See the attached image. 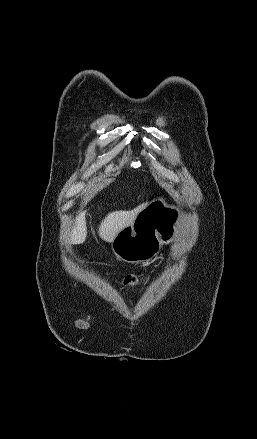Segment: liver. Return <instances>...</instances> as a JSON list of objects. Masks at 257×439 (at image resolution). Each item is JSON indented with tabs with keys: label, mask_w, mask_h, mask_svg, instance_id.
<instances>
[{
	"label": "liver",
	"mask_w": 257,
	"mask_h": 439,
	"mask_svg": "<svg viewBox=\"0 0 257 439\" xmlns=\"http://www.w3.org/2000/svg\"><path fill=\"white\" fill-rule=\"evenodd\" d=\"M146 205L147 203H143L131 211H115L109 213L99 226V236L106 242H112L123 228L134 222L138 213ZM86 235L85 214L80 213L76 218L75 227L71 233V241L74 244L83 243L86 239Z\"/></svg>",
	"instance_id": "obj_1"
}]
</instances>
